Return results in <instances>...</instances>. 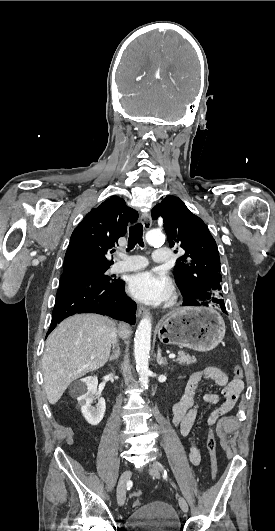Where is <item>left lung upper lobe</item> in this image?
I'll return each instance as SVG.
<instances>
[{"mask_svg": "<svg viewBox=\"0 0 275 531\" xmlns=\"http://www.w3.org/2000/svg\"><path fill=\"white\" fill-rule=\"evenodd\" d=\"M159 217L163 218L170 247L185 251L173 272L183 305H210L225 312L219 252L205 223L176 196H166L152 209V218Z\"/></svg>", "mask_w": 275, "mask_h": 531, "instance_id": "obj_1", "label": "left lung upper lobe"}]
</instances>
